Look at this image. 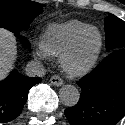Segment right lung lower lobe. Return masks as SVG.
<instances>
[{"label":"right lung lower lobe","instance_id":"obj_1","mask_svg":"<svg viewBox=\"0 0 125 125\" xmlns=\"http://www.w3.org/2000/svg\"><path fill=\"white\" fill-rule=\"evenodd\" d=\"M15 36L19 37L18 34ZM24 42L29 47L28 41ZM40 81V77H26L13 70L0 82V123L14 120L21 114L30 88Z\"/></svg>","mask_w":125,"mask_h":125}]
</instances>
